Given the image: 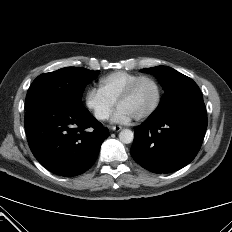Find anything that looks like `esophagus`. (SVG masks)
Here are the masks:
<instances>
[{
    "label": "esophagus",
    "instance_id": "1",
    "mask_svg": "<svg viewBox=\"0 0 232 232\" xmlns=\"http://www.w3.org/2000/svg\"><path fill=\"white\" fill-rule=\"evenodd\" d=\"M111 129H112L113 131L119 132V131L122 129V127L119 126V125H117V126H112Z\"/></svg>",
    "mask_w": 232,
    "mask_h": 232
}]
</instances>
